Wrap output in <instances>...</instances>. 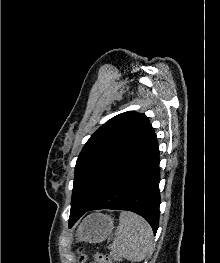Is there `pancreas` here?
I'll list each match as a JSON object with an SVG mask.
<instances>
[{
	"label": "pancreas",
	"instance_id": "cf45deb5",
	"mask_svg": "<svg viewBox=\"0 0 220 263\" xmlns=\"http://www.w3.org/2000/svg\"><path fill=\"white\" fill-rule=\"evenodd\" d=\"M112 256L115 258L116 257V255L115 254H112Z\"/></svg>",
	"mask_w": 220,
	"mask_h": 263
}]
</instances>
